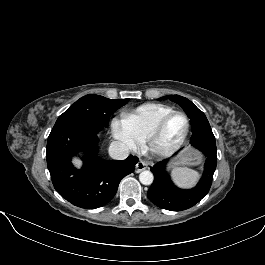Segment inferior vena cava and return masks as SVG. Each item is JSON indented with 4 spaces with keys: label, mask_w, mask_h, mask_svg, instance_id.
I'll use <instances>...</instances> for the list:
<instances>
[{
    "label": "inferior vena cava",
    "mask_w": 265,
    "mask_h": 265,
    "mask_svg": "<svg viewBox=\"0 0 265 265\" xmlns=\"http://www.w3.org/2000/svg\"><path fill=\"white\" fill-rule=\"evenodd\" d=\"M108 152L111 158L124 160L129 156L130 149L121 141H113L108 148Z\"/></svg>",
    "instance_id": "inferior-vena-cava-1"
}]
</instances>
